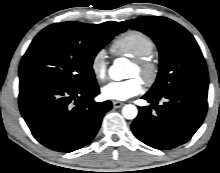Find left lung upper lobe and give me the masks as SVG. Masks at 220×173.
I'll list each match as a JSON object with an SVG mask.
<instances>
[{"instance_id":"1","label":"left lung upper lobe","mask_w":220,"mask_h":173,"mask_svg":"<svg viewBox=\"0 0 220 173\" xmlns=\"http://www.w3.org/2000/svg\"><path fill=\"white\" fill-rule=\"evenodd\" d=\"M122 23L150 36L158 47V77L148 94L208 90L205 60L194 37L184 27L165 17H140Z\"/></svg>"}]
</instances>
